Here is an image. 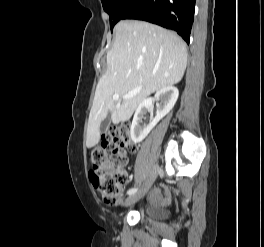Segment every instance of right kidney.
Here are the masks:
<instances>
[{"label": "right kidney", "mask_w": 264, "mask_h": 247, "mask_svg": "<svg viewBox=\"0 0 264 247\" xmlns=\"http://www.w3.org/2000/svg\"><path fill=\"white\" fill-rule=\"evenodd\" d=\"M178 96L179 91L173 86L165 87L159 90L155 94V100L157 101L156 116L148 125L142 126L141 120L146 114V111L149 110L152 104V99H146L138 106L130 128V136L134 143L141 142L156 126V124L170 112V110L174 107Z\"/></svg>", "instance_id": "obj_1"}]
</instances>
